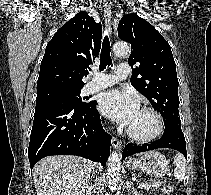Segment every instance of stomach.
Instances as JSON below:
<instances>
[{
  "instance_id": "stomach-1",
  "label": "stomach",
  "mask_w": 211,
  "mask_h": 195,
  "mask_svg": "<svg viewBox=\"0 0 211 195\" xmlns=\"http://www.w3.org/2000/svg\"><path fill=\"white\" fill-rule=\"evenodd\" d=\"M126 165L131 170H140L154 177H163L169 170L168 160L157 151L146 152L140 158L130 159Z\"/></svg>"
}]
</instances>
